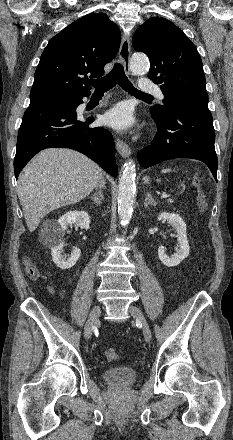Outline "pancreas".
I'll return each instance as SVG.
<instances>
[{"label":"pancreas","instance_id":"cf45deb5","mask_svg":"<svg viewBox=\"0 0 233 440\" xmlns=\"http://www.w3.org/2000/svg\"><path fill=\"white\" fill-rule=\"evenodd\" d=\"M169 203H172L173 201L171 199L168 200Z\"/></svg>","mask_w":233,"mask_h":440}]
</instances>
